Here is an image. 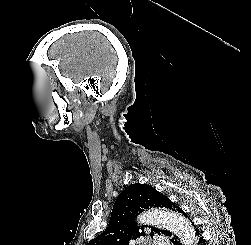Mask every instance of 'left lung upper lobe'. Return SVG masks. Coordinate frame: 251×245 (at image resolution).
Segmentation results:
<instances>
[{
    "mask_svg": "<svg viewBox=\"0 0 251 245\" xmlns=\"http://www.w3.org/2000/svg\"><path fill=\"white\" fill-rule=\"evenodd\" d=\"M151 207L167 208L175 212L180 210L177 204L150 185L135 183L128 186L117 197L105 232L89 241L87 245H129L130 240L145 235L146 226H137L136 215ZM155 233L167 236L170 231L151 227L150 236Z\"/></svg>",
    "mask_w": 251,
    "mask_h": 245,
    "instance_id": "5c2ea615",
    "label": "left lung upper lobe"
}]
</instances>
